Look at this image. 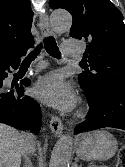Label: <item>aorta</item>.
Returning a JSON list of instances; mask_svg holds the SVG:
<instances>
[{
	"mask_svg": "<svg viewBox=\"0 0 125 167\" xmlns=\"http://www.w3.org/2000/svg\"><path fill=\"white\" fill-rule=\"evenodd\" d=\"M51 27L56 32L70 29L72 17L65 11H54L50 15ZM72 155V138L70 135L62 136L54 146L49 167H69Z\"/></svg>",
	"mask_w": 125,
	"mask_h": 167,
	"instance_id": "aorta-1",
	"label": "aorta"
}]
</instances>
